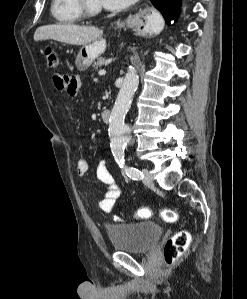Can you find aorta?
Masks as SVG:
<instances>
[{
	"label": "aorta",
	"instance_id": "762f6f07",
	"mask_svg": "<svg viewBox=\"0 0 247 299\" xmlns=\"http://www.w3.org/2000/svg\"><path fill=\"white\" fill-rule=\"evenodd\" d=\"M138 84L139 77L135 68L132 67L124 78L110 115L108 132L111 151L115 156L123 155L125 146L131 139L130 128L125 123V116L130 109Z\"/></svg>",
	"mask_w": 247,
	"mask_h": 299
}]
</instances>
